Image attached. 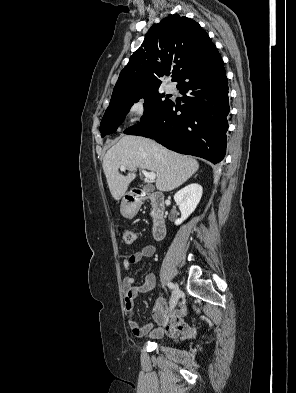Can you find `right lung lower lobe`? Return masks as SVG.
Returning <instances> with one entry per match:
<instances>
[{"label": "right lung lower lobe", "instance_id": "1", "mask_svg": "<svg viewBox=\"0 0 296 393\" xmlns=\"http://www.w3.org/2000/svg\"><path fill=\"white\" fill-rule=\"evenodd\" d=\"M177 82L183 94L182 106L170 100L155 117L142 120L124 133L155 139L168 149L213 164L220 162L226 152L230 108L224 63L215 45Z\"/></svg>", "mask_w": 296, "mask_h": 393}]
</instances>
